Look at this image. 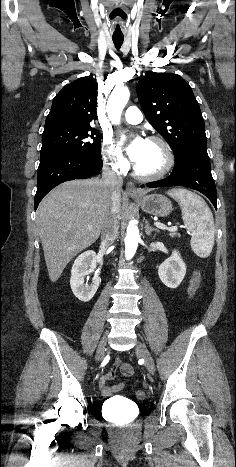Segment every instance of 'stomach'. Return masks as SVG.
Segmentation results:
<instances>
[{"instance_id": "1", "label": "stomach", "mask_w": 236, "mask_h": 467, "mask_svg": "<svg viewBox=\"0 0 236 467\" xmlns=\"http://www.w3.org/2000/svg\"><path fill=\"white\" fill-rule=\"evenodd\" d=\"M142 210L159 217L168 216L172 211L171 201L160 194H150L134 198Z\"/></svg>"}]
</instances>
